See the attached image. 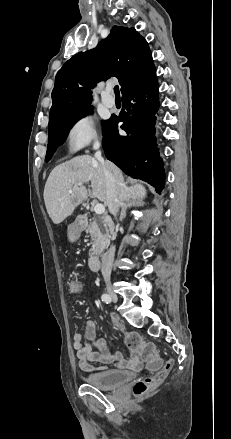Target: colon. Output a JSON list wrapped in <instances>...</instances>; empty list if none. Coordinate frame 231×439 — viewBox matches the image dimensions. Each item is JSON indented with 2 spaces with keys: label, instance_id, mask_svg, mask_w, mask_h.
Listing matches in <instances>:
<instances>
[{
  "label": "colon",
  "instance_id": "1",
  "mask_svg": "<svg viewBox=\"0 0 231 439\" xmlns=\"http://www.w3.org/2000/svg\"><path fill=\"white\" fill-rule=\"evenodd\" d=\"M67 288L71 294L77 295L81 292V283L77 279L70 278L67 281ZM125 341L131 350H136L139 352L142 360L146 362L147 370L151 373L139 379L133 385V394L135 396H141L155 388L164 380L172 369L173 361L168 360L163 363L156 352L154 345L144 342L138 334L128 333Z\"/></svg>",
  "mask_w": 231,
  "mask_h": 439
}]
</instances>
